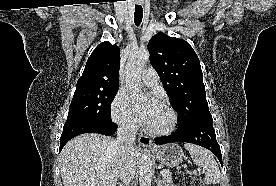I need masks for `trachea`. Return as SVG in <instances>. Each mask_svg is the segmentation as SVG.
Segmentation results:
<instances>
[{
  "instance_id": "trachea-1",
  "label": "trachea",
  "mask_w": 276,
  "mask_h": 186,
  "mask_svg": "<svg viewBox=\"0 0 276 186\" xmlns=\"http://www.w3.org/2000/svg\"><path fill=\"white\" fill-rule=\"evenodd\" d=\"M143 18V8L141 5H135V12H134V23L136 26H139L142 22Z\"/></svg>"
}]
</instances>
